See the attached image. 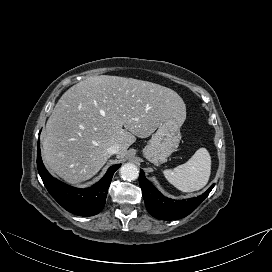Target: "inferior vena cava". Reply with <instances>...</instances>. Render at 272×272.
Here are the masks:
<instances>
[{"label": "inferior vena cava", "mask_w": 272, "mask_h": 272, "mask_svg": "<svg viewBox=\"0 0 272 272\" xmlns=\"http://www.w3.org/2000/svg\"><path fill=\"white\" fill-rule=\"evenodd\" d=\"M107 152L109 155L117 154L119 152V145H111L107 148Z\"/></svg>", "instance_id": "1"}]
</instances>
